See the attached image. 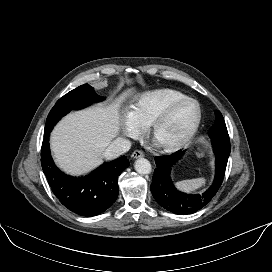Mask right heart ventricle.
<instances>
[{"label": "right heart ventricle", "instance_id": "e07e8e85", "mask_svg": "<svg viewBox=\"0 0 272 272\" xmlns=\"http://www.w3.org/2000/svg\"><path fill=\"white\" fill-rule=\"evenodd\" d=\"M184 97L182 92L170 88L148 91L135 99L129 115L141 130H145L170 103Z\"/></svg>", "mask_w": 272, "mask_h": 272}]
</instances>
